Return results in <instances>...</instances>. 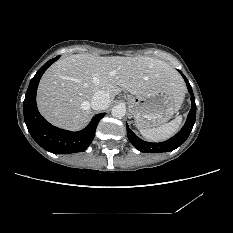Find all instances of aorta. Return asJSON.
I'll list each match as a JSON object with an SVG mask.
<instances>
[{"mask_svg":"<svg viewBox=\"0 0 233 233\" xmlns=\"http://www.w3.org/2000/svg\"><path fill=\"white\" fill-rule=\"evenodd\" d=\"M111 113L115 118H122L126 114V108L123 105H116L112 108Z\"/></svg>","mask_w":233,"mask_h":233,"instance_id":"762f6f07","label":"aorta"}]
</instances>
